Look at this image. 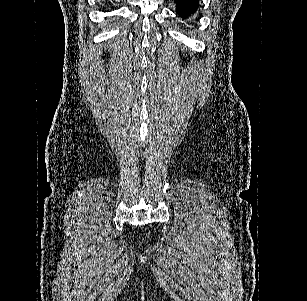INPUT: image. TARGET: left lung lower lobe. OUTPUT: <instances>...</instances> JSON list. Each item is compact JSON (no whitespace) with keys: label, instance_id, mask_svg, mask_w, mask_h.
I'll return each instance as SVG.
<instances>
[{"label":"left lung lower lobe","instance_id":"1","mask_svg":"<svg viewBox=\"0 0 307 301\" xmlns=\"http://www.w3.org/2000/svg\"><path fill=\"white\" fill-rule=\"evenodd\" d=\"M176 2V13L182 19H188L198 9L200 0H174Z\"/></svg>","mask_w":307,"mask_h":301}]
</instances>
